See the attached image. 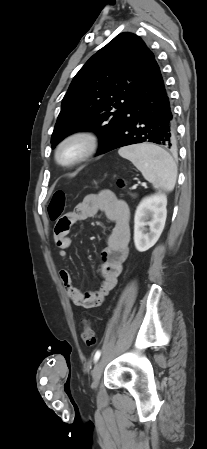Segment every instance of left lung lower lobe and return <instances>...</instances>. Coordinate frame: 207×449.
<instances>
[{
	"label": "left lung lower lobe",
	"instance_id": "0a47b994",
	"mask_svg": "<svg viewBox=\"0 0 207 449\" xmlns=\"http://www.w3.org/2000/svg\"><path fill=\"white\" fill-rule=\"evenodd\" d=\"M137 143H156L172 150L176 147L173 107L157 63L120 128L98 154Z\"/></svg>",
	"mask_w": 207,
	"mask_h": 449
}]
</instances>
